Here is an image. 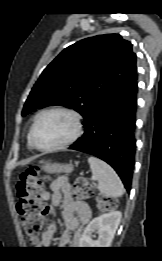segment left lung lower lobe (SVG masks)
<instances>
[{"label":"left lung lower lobe","mask_w":162,"mask_h":261,"mask_svg":"<svg viewBox=\"0 0 162 261\" xmlns=\"http://www.w3.org/2000/svg\"><path fill=\"white\" fill-rule=\"evenodd\" d=\"M137 74L100 103L85 122V132L69 149L94 155L108 164L130 190L136 149Z\"/></svg>","instance_id":"left-lung-lower-lobe-1"}]
</instances>
